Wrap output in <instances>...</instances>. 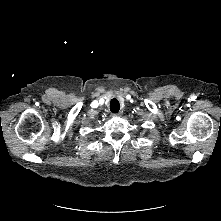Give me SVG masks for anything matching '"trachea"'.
<instances>
[{
    "mask_svg": "<svg viewBox=\"0 0 221 221\" xmlns=\"http://www.w3.org/2000/svg\"><path fill=\"white\" fill-rule=\"evenodd\" d=\"M120 109L119 101L116 98L111 99L110 101V111L112 113H117Z\"/></svg>",
    "mask_w": 221,
    "mask_h": 221,
    "instance_id": "1",
    "label": "trachea"
}]
</instances>
